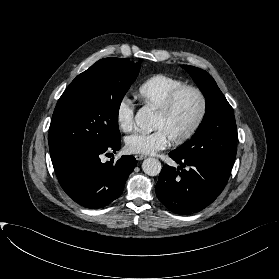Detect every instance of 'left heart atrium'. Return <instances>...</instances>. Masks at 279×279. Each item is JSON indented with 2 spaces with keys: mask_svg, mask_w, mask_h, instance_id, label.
I'll return each instance as SVG.
<instances>
[{
  "mask_svg": "<svg viewBox=\"0 0 279 279\" xmlns=\"http://www.w3.org/2000/svg\"><path fill=\"white\" fill-rule=\"evenodd\" d=\"M169 139L161 129L152 132H136L125 140L126 150L133 154L149 155L164 149Z\"/></svg>",
  "mask_w": 279,
  "mask_h": 279,
  "instance_id": "left-heart-atrium-1",
  "label": "left heart atrium"
}]
</instances>
